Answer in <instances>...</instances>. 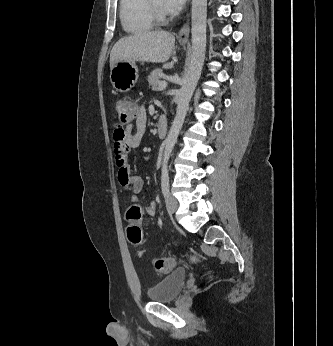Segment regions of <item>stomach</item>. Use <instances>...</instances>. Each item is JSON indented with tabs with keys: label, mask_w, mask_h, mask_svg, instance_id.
I'll use <instances>...</instances> for the list:
<instances>
[{
	"label": "stomach",
	"mask_w": 333,
	"mask_h": 346,
	"mask_svg": "<svg viewBox=\"0 0 333 346\" xmlns=\"http://www.w3.org/2000/svg\"><path fill=\"white\" fill-rule=\"evenodd\" d=\"M137 79L138 68L135 62L119 61L111 68L110 81L119 92H128L135 85Z\"/></svg>",
	"instance_id": "1"
}]
</instances>
